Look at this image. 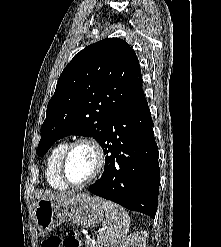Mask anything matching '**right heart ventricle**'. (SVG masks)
<instances>
[{"label":"right heart ventricle","mask_w":221,"mask_h":247,"mask_svg":"<svg viewBox=\"0 0 221 247\" xmlns=\"http://www.w3.org/2000/svg\"><path fill=\"white\" fill-rule=\"evenodd\" d=\"M69 142L67 140L56 144L47 158L46 178L48 184L56 190H66L68 185L60 176V163Z\"/></svg>","instance_id":"1"}]
</instances>
